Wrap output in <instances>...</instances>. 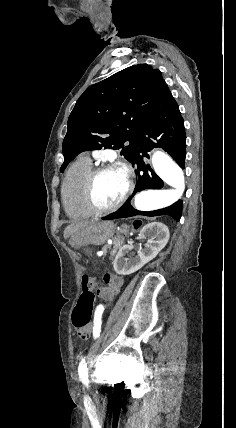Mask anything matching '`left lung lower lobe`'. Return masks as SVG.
<instances>
[{
  "label": "left lung lower lobe",
  "instance_id": "1",
  "mask_svg": "<svg viewBox=\"0 0 236 428\" xmlns=\"http://www.w3.org/2000/svg\"><path fill=\"white\" fill-rule=\"evenodd\" d=\"M137 144L139 149L135 163L137 164L136 173L139 175L137 176V183L132 196L137 192L146 189H161L164 185L159 176L151 170L149 165H145L143 161L144 156L149 158L147 152L152 148H162L171 155L181 168L184 169V161L186 157L185 128L183 118L175 100L171 102V104L159 116L149 121L143 127L139 134ZM140 153H142V156ZM130 199L118 211L107 215L102 219L112 220L136 215H169L176 221L180 220L183 205L181 200L167 208L143 212L134 209L130 204Z\"/></svg>",
  "mask_w": 236,
  "mask_h": 428
}]
</instances>
